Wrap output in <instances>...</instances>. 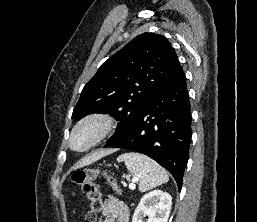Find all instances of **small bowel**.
<instances>
[{
	"instance_id": "small-bowel-1",
	"label": "small bowel",
	"mask_w": 257,
	"mask_h": 222,
	"mask_svg": "<svg viewBox=\"0 0 257 222\" xmlns=\"http://www.w3.org/2000/svg\"><path fill=\"white\" fill-rule=\"evenodd\" d=\"M103 222H129L128 208L116 197L107 196L102 208Z\"/></svg>"
}]
</instances>
